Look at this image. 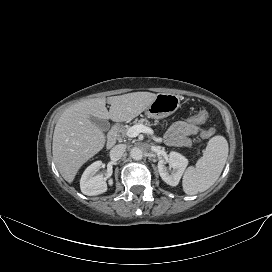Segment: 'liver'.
<instances>
[{"label": "liver", "mask_w": 272, "mask_h": 272, "mask_svg": "<svg viewBox=\"0 0 272 272\" xmlns=\"http://www.w3.org/2000/svg\"><path fill=\"white\" fill-rule=\"evenodd\" d=\"M156 98L150 92H133L120 96L94 98L76 103L58 119L52 143L55 164L62 177L73 182L80 167L105 145L103 131L90 121V117L129 121L145 111ZM106 101L110 104L109 111Z\"/></svg>", "instance_id": "liver-1"}]
</instances>
